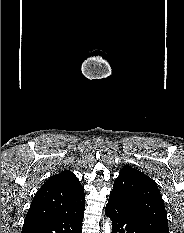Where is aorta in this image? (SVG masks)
<instances>
[{"instance_id":"aorta-1","label":"aorta","mask_w":184,"mask_h":233,"mask_svg":"<svg viewBox=\"0 0 184 233\" xmlns=\"http://www.w3.org/2000/svg\"><path fill=\"white\" fill-rule=\"evenodd\" d=\"M103 233H111V223L109 220H106L104 223Z\"/></svg>"}]
</instances>
